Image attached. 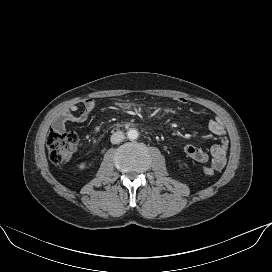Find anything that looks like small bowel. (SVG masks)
<instances>
[{"instance_id": "1", "label": "small bowel", "mask_w": 272, "mask_h": 272, "mask_svg": "<svg viewBox=\"0 0 272 272\" xmlns=\"http://www.w3.org/2000/svg\"><path fill=\"white\" fill-rule=\"evenodd\" d=\"M175 101L179 104H185L187 102V100L182 97L176 98ZM95 106L96 100L94 98H88L84 101L85 108L82 112H78V106L71 105L57 117L53 124L54 129L64 131L67 123H81L86 121ZM208 129L211 133L220 138L218 143L214 144L209 151H205L194 145H187L184 151L193 161L198 163L210 162L213 169L221 170L226 164V153L229 145L226 131L223 122L218 117L209 121Z\"/></svg>"}]
</instances>
